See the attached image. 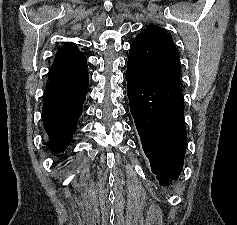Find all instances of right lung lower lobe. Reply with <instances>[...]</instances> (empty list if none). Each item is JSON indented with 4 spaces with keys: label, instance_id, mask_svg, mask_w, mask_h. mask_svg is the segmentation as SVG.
Segmentation results:
<instances>
[{
    "label": "right lung lower lobe",
    "instance_id": "right-lung-lower-lobe-1",
    "mask_svg": "<svg viewBox=\"0 0 237 225\" xmlns=\"http://www.w3.org/2000/svg\"><path fill=\"white\" fill-rule=\"evenodd\" d=\"M88 80L72 88H48L44 92L42 120L48 136L47 145L63 152L72 140L82 114Z\"/></svg>",
    "mask_w": 237,
    "mask_h": 225
}]
</instances>
